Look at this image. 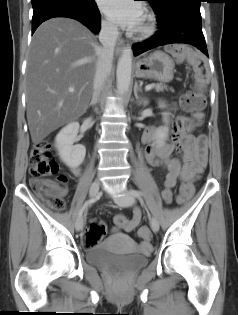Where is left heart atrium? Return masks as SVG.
<instances>
[{
    "mask_svg": "<svg viewBox=\"0 0 238 315\" xmlns=\"http://www.w3.org/2000/svg\"><path fill=\"white\" fill-rule=\"evenodd\" d=\"M102 12L115 24L130 29H138L143 18L144 9L136 0H98Z\"/></svg>",
    "mask_w": 238,
    "mask_h": 315,
    "instance_id": "1",
    "label": "left heart atrium"
}]
</instances>
